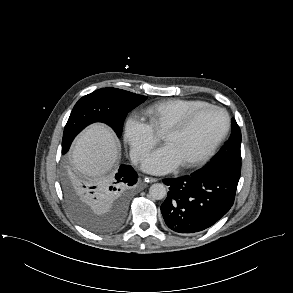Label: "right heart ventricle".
Instances as JSON below:
<instances>
[{
  "instance_id": "1",
  "label": "right heart ventricle",
  "mask_w": 293,
  "mask_h": 293,
  "mask_svg": "<svg viewBox=\"0 0 293 293\" xmlns=\"http://www.w3.org/2000/svg\"><path fill=\"white\" fill-rule=\"evenodd\" d=\"M206 104L208 103L201 100L167 99L147 106L143 113L156 132L164 133L170 125L187 113Z\"/></svg>"
}]
</instances>
